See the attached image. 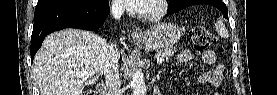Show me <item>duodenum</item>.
Instances as JSON below:
<instances>
[{
	"label": "duodenum",
	"instance_id": "duodenum-1",
	"mask_svg": "<svg viewBox=\"0 0 277 95\" xmlns=\"http://www.w3.org/2000/svg\"><path fill=\"white\" fill-rule=\"evenodd\" d=\"M97 94L107 95V89H106L105 84L98 85V87H97ZM154 94H159V93H157V87L154 88Z\"/></svg>",
	"mask_w": 277,
	"mask_h": 95
}]
</instances>
